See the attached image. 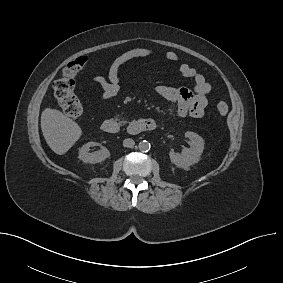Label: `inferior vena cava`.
I'll list each match as a JSON object with an SVG mask.
<instances>
[{
	"mask_svg": "<svg viewBox=\"0 0 283 283\" xmlns=\"http://www.w3.org/2000/svg\"><path fill=\"white\" fill-rule=\"evenodd\" d=\"M135 145V142L131 138H127L123 141V146L127 148H132Z\"/></svg>",
	"mask_w": 283,
	"mask_h": 283,
	"instance_id": "obj_1",
	"label": "inferior vena cava"
}]
</instances>
